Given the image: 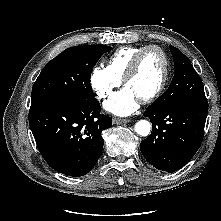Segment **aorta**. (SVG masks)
<instances>
[{
	"label": "aorta",
	"instance_id": "1",
	"mask_svg": "<svg viewBox=\"0 0 221 221\" xmlns=\"http://www.w3.org/2000/svg\"><path fill=\"white\" fill-rule=\"evenodd\" d=\"M134 130L141 136H147L150 134L151 124L147 120H140L135 124Z\"/></svg>",
	"mask_w": 221,
	"mask_h": 221
}]
</instances>
